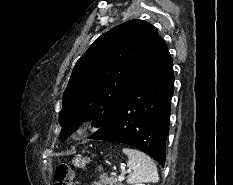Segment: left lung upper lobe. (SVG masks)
I'll list each match as a JSON object with an SVG mask.
<instances>
[{"label":"left lung upper lobe","mask_w":233,"mask_h":185,"mask_svg":"<svg viewBox=\"0 0 233 185\" xmlns=\"http://www.w3.org/2000/svg\"><path fill=\"white\" fill-rule=\"evenodd\" d=\"M157 29L130 20L97 38L77 61L59 114L64 141L83 122L100 129L116 115L136 82L167 51Z\"/></svg>","instance_id":"5c2ea615"}]
</instances>
